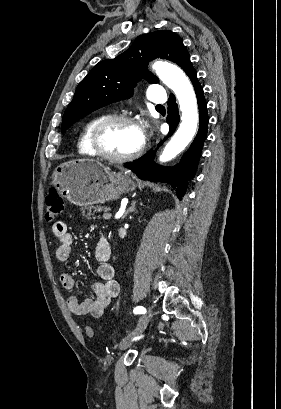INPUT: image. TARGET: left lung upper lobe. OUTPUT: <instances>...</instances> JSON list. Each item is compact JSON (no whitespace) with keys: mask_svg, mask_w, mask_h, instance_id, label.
<instances>
[{"mask_svg":"<svg viewBox=\"0 0 281 409\" xmlns=\"http://www.w3.org/2000/svg\"><path fill=\"white\" fill-rule=\"evenodd\" d=\"M158 57L178 64L188 76L194 70L182 39L174 32L145 35L115 59L99 62L79 83L63 115L61 132L91 112L130 97L143 75L149 83H157V77L147 72V63Z\"/></svg>","mask_w":281,"mask_h":409,"instance_id":"left-lung-upper-lobe-1","label":"left lung upper lobe"}]
</instances>
